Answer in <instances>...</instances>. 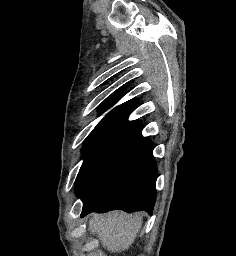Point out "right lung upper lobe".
I'll use <instances>...</instances> for the list:
<instances>
[{
  "instance_id": "obj_1",
  "label": "right lung upper lobe",
  "mask_w": 236,
  "mask_h": 256,
  "mask_svg": "<svg viewBox=\"0 0 236 256\" xmlns=\"http://www.w3.org/2000/svg\"><path fill=\"white\" fill-rule=\"evenodd\" d=\"M121 92H115L113 93L109 98H107L100 106V112H104L107 109H109L111 106H113L117 100H119L122 95L124 94V90H120ZM136 102L133 100L127 101L113 110H111L103 119L107 118H119V119H125L127 120L129 114L134 110L136 107Z\"/></svg>"
}]
</instances>
